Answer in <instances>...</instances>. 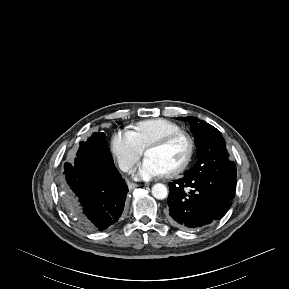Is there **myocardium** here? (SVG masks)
Segmentation results:
<instances>
[{
  "instance_id": "1",
  "label": "myocardium",
  "mask_w": 289,
  "mask_h": 289,
  "mask_svg": "<svg viewBox=\"0 0 289 289\" xmlns=\"http://www.w3.org/2000/svg\"><path fill=\"white\" fill-rule=\"evenodd\" d=\"M179 139H183L186 142L187 153H186L184 160L178 166H176L174 169H172L166 173V175L168 177H173V176H177V175L181 174L190 165V163L194 157V153H195V142H194L193 138L185 132H182V131L175 132V133L168 134V135L152 142L151 144H149L146 147V150H145V154H146L151 149H158V148L166 147L167 145H169L172 142L179 140Z\"/></svg>"
}]
</instances>
